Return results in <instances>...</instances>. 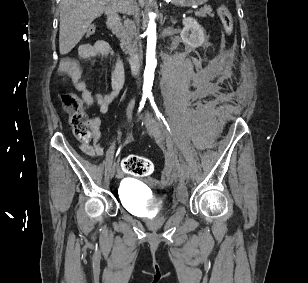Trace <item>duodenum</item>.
I'll return each mask as SVG.
<instances>
[{"label":"duodenum","mask_w":308,"mask_h":283,"mask_svg":"<svg viewBox=\"0 0 308 283\" xmlns=\"http://www.w3.org/2000/svg\"><path fill=\"white\" fill-rule=\"evenodd\" d=\"M107 28L114 32L120 25V18L117 15H110L106 22ZM127 63L132 73H137L140 64V54L138 52H132L127 55Z\"/></svg>","instance_id":"duodenum-1"}]
</instances>
